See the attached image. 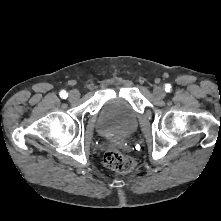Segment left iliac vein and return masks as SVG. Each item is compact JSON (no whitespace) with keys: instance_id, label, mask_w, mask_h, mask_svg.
Segmentation results:
<instances>
[{"instance_id":"left-iliac-vein-1","label":"left iliac vein","mask_w":221,"mask_h":221,"mask_svg":"<svg viewBox=\"0 0 221 221\" xmlns=\"http://www.w3.org/2000/svg\"><path fill=\"white\" fill-rule=\"evenodd\" d=\"M154 94L158 97V98H164L165 97V91L162 87H155L154 88Z\"/></svg>"}]
</instances>
